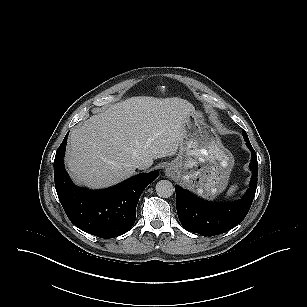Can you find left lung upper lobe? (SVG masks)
<instances>
[{"mask_svg":"<svg viewBox=\"0 0 307 307\" xmlns=\"http://www.w3.org/2000/svg\"><path fill=\"white\" fill-rule=\"evenodd\" d=\"M243 137H244V139H245V142L248 143V144H250L249 139H248V136H247V133H246V131H244V130H243Z\"/></svg>","mask_w":307,"mask_h":307,"instance_id":"1","label":"left lung upper lobe"}]
</instances>
